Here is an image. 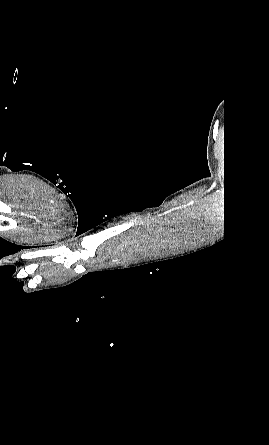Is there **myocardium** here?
<instances>
[{
	"label": "myocardium",
	"mask_w": 269,
	"mask_h": 445,
	"mask_svg": "<svg viewBox=\"0 0 269 445\" xmlns=\"http://www.w3.org/2000/svg\"><path fill=\"white\" fill-rule=\"evenodd\" d=\"M60 238H61L60 236H48V237L38 239L37 241L44 242V241L58 240Z\"/></svg>",
	"instance_id": "f54148a6"
}]
</instances>
